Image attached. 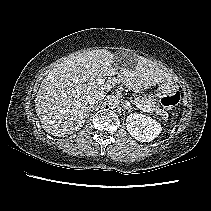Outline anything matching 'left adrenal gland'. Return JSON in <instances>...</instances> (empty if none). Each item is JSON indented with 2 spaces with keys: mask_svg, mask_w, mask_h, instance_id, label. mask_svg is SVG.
Wrapping results in <instances>:
<instances>
[{
  "mask_svg": "<svg viewBox=\"0 0 211 211\" xmlns=\"http://www.w3.org/2000/svg\"><path fill=\"white\" fill-rule=\"evenodd\" d=\"M125 108L128 110V112H131V110H136V108H134L130 104H126Z\"/></svg>",
  "mask_w": 211,
  "mask_h": 211,
  "instance_id": "obj_1",
  "label": "left adrenal gland"
}]
</instances>
